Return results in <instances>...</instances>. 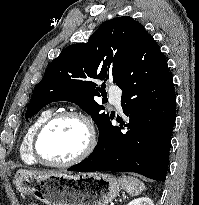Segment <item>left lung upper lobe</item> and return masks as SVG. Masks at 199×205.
<instances>
[{"label": "left lung upper lobe", "mask_w": 199, "mask_h": 205, "mask_svg": "<svg viewBox=\"0 0 199 205\" xmlns=\"http://www.w3.org/2000/svg\"><path fill=\"white\" fill-rule=\"evenodd\" d=\"M144 31L133 18L117 17L102 23L87 43L66 47L35 86L26 118L51 102L69 101L91 115L101 133L113 115L101 112L103 107L95 101L105 93V84L101 88L96 80L107 81L112 77L120 86L125 66Z\"/></svg>", "instance_id": "5c2ea615"}]
</instances>
